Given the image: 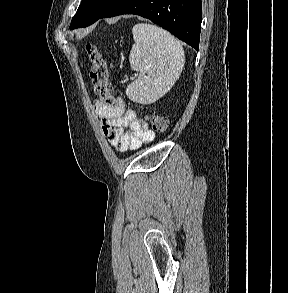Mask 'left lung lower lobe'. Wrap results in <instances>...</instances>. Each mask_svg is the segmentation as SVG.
<instances>
[{
    "label": "left lung lower lobe",
    "mask_w": 288,
    "mask_h": 293,
    "mask_svg": "<svg viewBox=\"0 0 288 293\" xmlns=\"http://www.w3.org/2000/svg\"><path fill=\"white\" fill-rule=\"evenodd\" d=\"M122 14L148 18L197 51L199 49L201 0H116L99 19Z\"/></svg>",
    "instance_id": "left-lung-lower-lobe-1"
}]
</instances>
